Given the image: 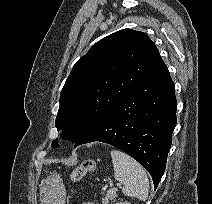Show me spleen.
Wrapping results in <instances>:
<instances>
[{"instance_id": "3e777b00", "label": "spleen", "mask_w": 212, "mask_h": 204, "mask_svg": "<svg viewBox=\"0 0 212 204\" xmlns=\"http://www.w3.org/2000/svg\"><path fill=\"white\" fill-rule=\"evenodd\" d=\"M111 157L114 177L121 183L122 192L146 201L149 195V180L142 165L119 150H112Z\"/></svg>"}]
</instances>
